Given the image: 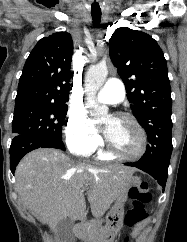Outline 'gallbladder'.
<instances>
[{
    "label": "gallbladder",
    "mask_w": 187,
    "mask_h": 242,
    "mask_svg": "<svg viewBox=\"0 0 187 242\" xmlns=\"http://www.w3.org/2000/svg\"><path fill=\"white\" fill-rule=\"evenodd\" d=\"M73 222L70 219H64L56 227V242H74Z\"/></svg>",
    "instance_id": "gallbladder-1"
}]
</instances>
